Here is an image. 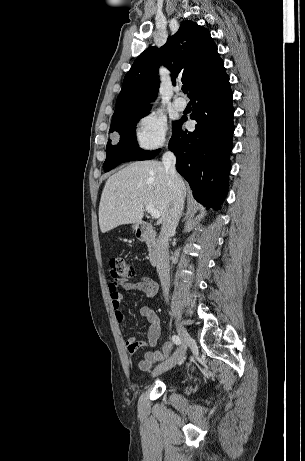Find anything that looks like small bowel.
<instances>
[{"label":"small bowel","mask_w":305,"mask_h":461,"mask_svg":"<svg viewBox=\"0 0 305 461\" xmlns=\"http://www.w3.org/2000/svg\"><path fill=\"white\" fill-rule=\"evenodd\" d=\"M108 289L111 305L115 313V318L119 323H123L125 321V316L120 310L123 298L120 289L128 291H142L148 297H154L158 293L157 283L149 277H143L138 280H113L109 284ZM140 315L149 324L146 340L140 341L135 337H128L125 340V346L128 353L131 355L135 354L140 347L145 345L153 348L152 351L146 352L144 358L138 363L140 370L149 371L153 364L164 360L168 356L172 350V345L170 343H165L162 347V351L157 349V342L160 337L161 327L160 320L156 312L151 307H141Z\"/></svg>","instance_id":"1"}]
</instances>
